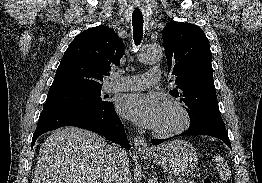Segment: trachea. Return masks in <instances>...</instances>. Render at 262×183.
<instances>
[{
    "instance_id": "trachea-1",
    "label": "trachea",
    "mask_w": 262,
    "mask_h": 183,
    "mask_svg": "<svg viewBox=\"0 0 262 183\" xmlns=\"http://www.w3.org/2000/svg\"><path fill=\"white\" fill-rule=\"evenodd\" d=\"M133 38L135 45H139L143 36V15L139 11L132 14Z\"/></svg>"
}]
</instances>
